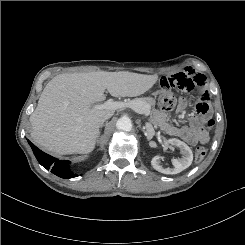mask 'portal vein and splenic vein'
<instances>
[{
  "mask_svg": "<svg viewBox=\"0 0 245 245\" xmlns=\"http://www.w3.org/2000/svg\"><path fill=\"white\" fill-rule=\"evenodd\" d=\"M95 108L96 109H112V110L131 108L135 110L137 113L145 114L146 116H148L150 113L149 106H146L142 108L141 110H138V106L133 102H118V101L107 100L101 105H95Z\"/></svg>",
  "mask_w": 245,
  "mask_h": 245,
  "instance_id": "1",
  "label": "portal vein and splenic vein"
}]
</instances>
